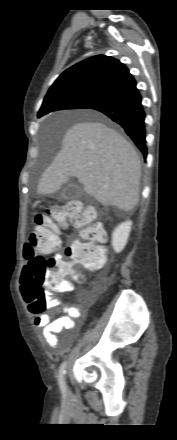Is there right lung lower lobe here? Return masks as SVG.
<instances>
[{
  "mask_svg": "<svg viewBox=\"0 0 177 440\" xmlns=\"http://www.w3.org/2000/svg\"><path fill=\"white\" fill-rule=\"evenodd\" d=\"M141 101L142 97L134 81L124 88L96 99L86 108L101 112L121 125L146 158V115Z\"/></svg>",
  "mask_w": 177,
  "mask_h": 440,
  "instance_id": "right-lung-lower-lobe-1",
  "label": "right lung lower lobe"
}]
</instances>
